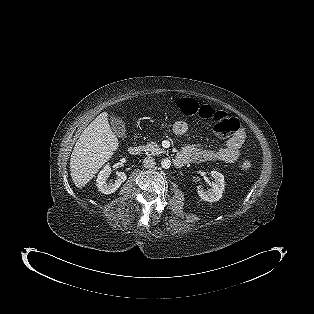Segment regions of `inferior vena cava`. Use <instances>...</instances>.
Segmentation results:
<instances>
[{"instance_id": "obj_1", "label": "inferior vena cava", "mask_w": 314, "mask_h": 314, "mask_svg": "<svg viewBox=\"0 0 314 314\" xmlns=\"http://www.w3.org/2000/svg\"><path fill=\"white\" fill-rule=\"evenodd\" d=\"M155 159L152 158V157H146L144 160H143V166L145 168H152L155 166Z\"/></svg>"}]
</instances>
